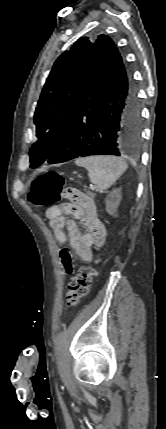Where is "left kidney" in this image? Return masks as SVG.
Here are the masks:
<instances>
[{"label": "left kidney", "mask_w": 166, "mask_h": 429, "mask_svg": "<svg viewBox=\"0 0 166 429\" xmlns=\"http://www.w3.org/2000/svg\"><path fill=\"white\" fill-rule=\"evenodd\" d=\"M122 199V195H121V188H117L112 190V192H110L106 199H105V204H106V211L110 214V215H115L118 209V206L121 202Z\"/></svg>", "instance_id": "obj_1"}]
</instances>
